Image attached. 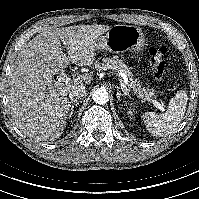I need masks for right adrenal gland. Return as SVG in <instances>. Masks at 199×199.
<instances>
[{
	"label": "right adrenal gland",
	"mask_w": 199,
	"mask_h": 199,
	"mask_svg": "<svg viewBox=\"0 0 199 199\" xmlns=\"http://www.w3.org/2000/svg\"><path fill=\"white\" fill-rule=\"evenodd\" d=\"M78 105H79V102H74V104L71 106L70 112H69V115H68V118H69V119L72 118L73 115L75 114L74 108H75L76 106H78Z\"/></svg>",
	"instance_id": "2a0ac1e0"
}]
</instances>
